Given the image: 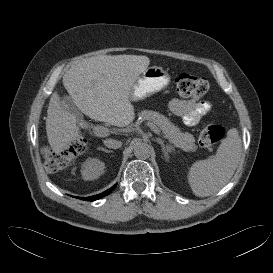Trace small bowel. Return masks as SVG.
Segmentation results:
<instances>
[{
    "instance_id": "1",
    "label": "small bowel",
    "mask_w": 273,
    "mask_h": 273,
    "mask_svg": "<svg viewBox=\"0 0 273 273\" xmlns=\"http://www.w3.org/2000/svg\"><path fill=\"white\" fill-rule=\"evenodd\" d=\"M211 107V103L208 101L195 102L173 99L169 103V110L181 116L188 126L196 125L202 117L210 112Z\"/></svg>"
}]
</instances>
